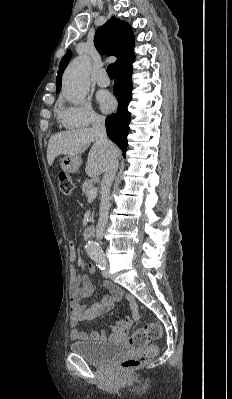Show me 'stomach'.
<instances>
[{"mask_svg": "<svg viewBox=\"0 0 232 399\" xmlns=\"http://www.w3.org/2000/svg\"><path fill=\"white\" fill-rule=\"evenodd\" d=\"M82 164L80 156H66L60 160V168L66 174H75Z\"/></svg>", "mask_w": 232, "mask_h": 399, "instance_id": "obj_1", "label": "stomach"}]
</instances>
